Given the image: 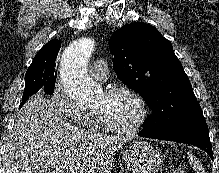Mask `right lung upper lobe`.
Returning <instances> with one entry per match:
<instances>
[{
	"mask_svg": "<svg viewBox=\"0 0 219 173\" xmlns=\"http://www.w3.org/2000/svg\"><path fill=\"white\" fill-rule=\"evenodd\" d=\"M60 47L61 42L57 39H52L40 49L30 66H39L47 72L54 73V67L56 66L55 60ZM55 75H57V71Z\"/></svg>",
	"mask_w": 219,
	"mask_h": 173,
	"instance_id": "1",
	"label": "right lung upper lobe"
}]
</instances>
